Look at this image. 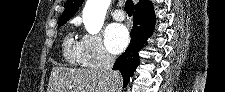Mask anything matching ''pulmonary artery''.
I'll list each match as a JSON object with an SVG mask.
<instances>
[{
    "instance_id": "obj_1",
    "label": "pulmonary artery",
    "mask_w": 225,
    "mask_h": 92,
    "mask_svg": "<svg viewBox=\"0 0 225 92\" xmlns=\"http://www.w3.org/2000/svg\"><path fill=\"white\" fill-rule=\"evenodd\" d=\"M112 16L113 18L116 20V21H122L125 19V14L122 10L120 9H117L115 10L113 13H112Z\"/></svg>"
}]
</instances>
